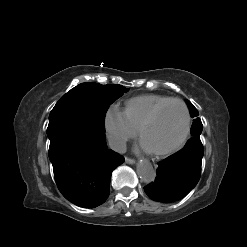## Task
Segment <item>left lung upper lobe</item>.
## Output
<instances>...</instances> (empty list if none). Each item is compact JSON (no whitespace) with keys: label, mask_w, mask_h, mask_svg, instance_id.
<instances>
[{"label":"left lung upper lobe","mask_w":247,"mask_h":247,"mask_svg":"<svg viewBox=\"0 0 247 247\" xmlns=\"http://www.w3.org/2000/svg\"><path fill=\"white\" fill-rule=\"evenodd\" d=\"M187 104L190 109L191 117L195 118L193 121L192 127H191V134L193 137L200 138L203 125H202L201 119L198 117L199 113L190 101H188Z\"/></svg>","instance_id":"obj_1"}]
</instances>
